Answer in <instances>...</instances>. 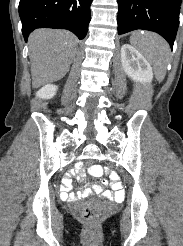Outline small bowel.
Here are the masks:
<instances>
[{"label": "small bowel", "instance_id": "1", "mask_svg": "<svg viewBox=\"0 0 183 246\" xmlns=\"http://www.w3.org/2000/svg\"><path fill=\"white\" fill-rule=\"evenodd\" d=\"M91 178H93V183H100V178H102V174H112V178H109V183H112V188L114 192L105 190L106 183L103 184H94L91 189H86L85 191L74 195L69 194L68 191L71 187L70 179H85V170L82 165H71V169H67V174H64V180L62 184H60L61 193H59V198H65L68 200H76L82 197H86L91 192L102 195L108 199L119 200L124 196V184L119 182V174H113V169H104L103 167L95 166L90 168Z\"/></svg>", "mask_w": 183, "mask_h": 246}]
</instances>
